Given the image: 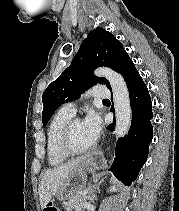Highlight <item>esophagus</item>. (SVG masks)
Listing matches in <instances>:
<instances>
[{
    "instance_id": "1",
    "label": "esophagus",
    "mask_w": 179,
    "mask_h": 211,
    "mask_svg": "<svg viewBox=\"0 0 179 211\" xmlns=\"http://www.w3.org/2000/svg\"><path fill=\"white\" fill-rule=\"evenodd\" d=\"M92 156H96V158H94V162H92V167H96V170L98 169L97 167H103V164H105V159L102 158V152L92 151Z\"/></svg>"
}]
</instances>
